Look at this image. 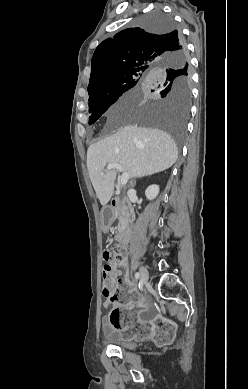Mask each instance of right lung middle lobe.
I'll use <instances>...</instances> for the list:
<instances>
[{
    "instance_id": "right-lung-middle-lobe-1",
    "label": "right lung middle lobe",
    "mask_w": 248,
    "mask_h": 389,
    "mask_svg": "<svg viewBox=\"0 0 248 389\" xmlns=\"http://www.w3.org/2000/svg\"><path fill=\"white\" fill-rule=\"evenodd\" d=\"M143 27L152 32L175 29L171 16L161 10L152 11L141 19ZM157 76L151 92L160 98L155 104L123 105L118 113L125 118L168 131L176 144L183 143L186 120L191 103V72L188 61L172 57L154 68ZM143 72L133 70L115 78L108 86L89 94V124H93L123 93L138 85Z\"/></svg>"
}]
</instances>
